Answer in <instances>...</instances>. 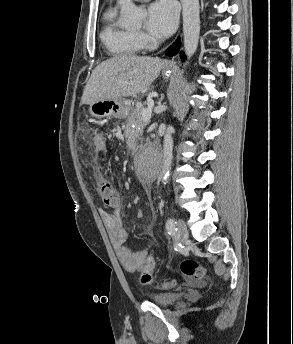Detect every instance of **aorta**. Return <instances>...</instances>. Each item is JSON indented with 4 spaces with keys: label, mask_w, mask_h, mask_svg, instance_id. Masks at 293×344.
<instances>
[{
    "label": "aorta",
    "mask_w": 293,
    "mask_h": 344,
    "mask_svg": "<svg viewBox=\"0 0 293 344\" xmlns=\"http://www.w3.org/2000/svg\"><path fill=\"white\" fill-rule=\"evenodd\" d=\"M183 8V37L184 50L189 60L197 50L200 35L199 0H181ZM145 17V12L133 2L127 0L121 6V24L125 27L137 26ZM173 127L168 126L163 138V159L161 181L166 184L172 164L173 152ZM156 155L142 152L137 160V170L140 173L154 170L156 167Z\"/></svg>",
    "instance_id": "obj_1"
}]
</instances>
